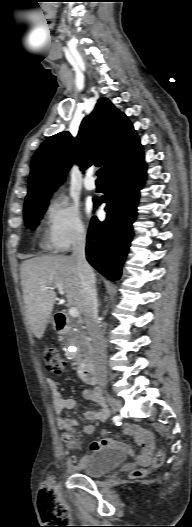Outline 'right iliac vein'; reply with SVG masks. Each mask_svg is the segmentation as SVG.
I'll return each instance as SVG.
<instances>
[{
  "mask_svg": "<svg viewBox=\"0 0 192 527\" xmlns=\"http://www.w3.org/2000/svg\"><path fill=\"white\" fill-rule=\"evenodd\" d=\"M107 402L109 403L114 412L119 411L122 407L121 402L111 396H107Z\"/></svg>",
  "mask_w": 192,
  "mask_h": 527,
  "instance_id": "right-iliac-vein-1",
  "label": "right iliac vein"
}]
</instances>
